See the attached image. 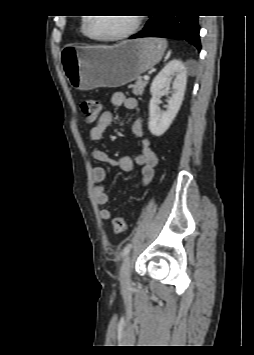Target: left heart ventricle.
<instances>
[{
  "mask_svg": "<svg viewBox=\"0 0 254 355\" xmlns=\"http://www.w3.org/2000/svg\"><path fill=\"white\" fill-rule=\"evenodd\" d=\"M132 23V16L99 17L93 19L92 31L97 36L110 37L125 32Z\"/></svg>",
  "mask_w": 254,
  "mask_h": 355,
  "instance_id": "left-heart-ventricle-1",
  "label": "left heart ventricle"
}]
</instances>
